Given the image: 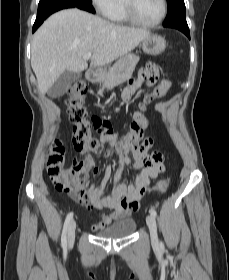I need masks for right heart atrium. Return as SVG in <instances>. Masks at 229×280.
<instances>
[{
  "instance_id": "1",
  "label": "right heart atrium",
  "mask_w": 229,
  "mask_h": 280,
  "mask_svg": "<svg viewBox=\"0 0 229 280\" xmlns=\"http://www.w3.org/2000/svg\"><path fill=\"white\" fill-rule=\"evenodd\" d=\"M117 1L118 0H91L92 4L104 17H108L110 15V13L116 7Z\"/></svg>"
}]
</instances>
